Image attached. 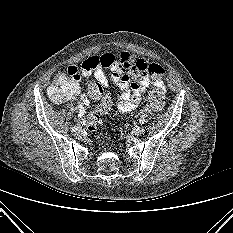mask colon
<instances>
[{
    "mask_svg": "<svg viewBox=\"0 0 233 233\" xmlns=\"http://www.w3.org/2000/svg\"><path fill=\"white\" fill-rule=\"evenodd\" d=\"M48 92L55 102L66 101L73 95L71 76L63 71L58 72ZM88 93L92 99L99 101L87 119L88 129L93 130L100 118L111 109L112 101L110 96L105 93L103 86L97 81H91L88 84ZM148 100L154 110H162L165 104L164 90L160 86L154 85L149 91Z\"/></svg>",
    "mask_w": 233,
    "mask_h": 233,
    "instance_id": "colon-1",
    "label": "colon"
}]
</instances>
